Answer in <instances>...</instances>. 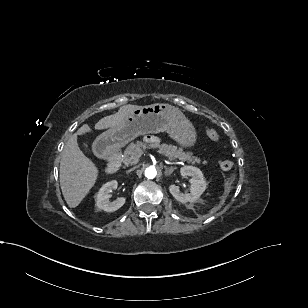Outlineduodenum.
Segmentation results:
<instances>
[{
    "label": "duodenum",
    "mask_w": 308,
    "mask_h": 308,
    "mask_svg": "<svg viewBox=\"0 0 308 308\" xmlns=\"http://www.w3.org/2000/svg\"><path fill=\"white\" fill-rule=\"evenodd\" d=\"M97 152L108 161L107 173L117 172L121 164L122 150L117 146L103 144L98 147Z\"/></svg>",
    "instance_id": "obj_1"
}]
</instances>
